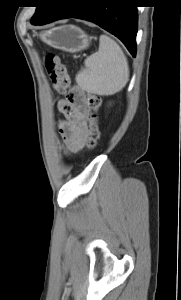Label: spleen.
<instances>
[{"mask_svg":"<svg viewBox=\"0 0 181 300\" xmlns=\"http://www.w3.org/2000/svg\"><path fill=\"white\" fill-rule=\"evenodd\" d=\"M76 83L88 93L107 96L120 91L129 80L127 58L116 41L101 35L99 50L87 57Z\"/></svg>","mask_w":181,"mask_h":300,"instance_id":"spleen-1","label":"spleen"}]
</instances>
